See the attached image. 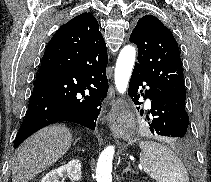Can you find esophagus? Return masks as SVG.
Instances as JSON below:
<instances>
[{
    "mask_svg": "<svg viewBox=\"0 0 211 182\" xmlns=\"http://www.w3.org/2000/svg\"><path fill=\"white\" fill-rule=\"evenodd\" d=\"M108 98L111 100V104L115 107H120L123 103V100L118 98L116 99L115 98V91H114V88L111 87L109 89V92H108Z\"/></svg>",
    "mask_w": 211,
    "mask_h": 182,
    "instance_id": "34e87169",
    "label": "esophagus"
}]
</instances>
